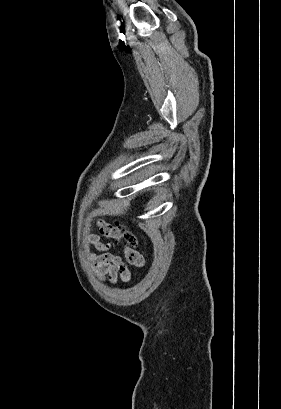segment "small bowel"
Wrapping results in <instances>:
<instances>
[{
	"instance_id": "1",
	"label": "small bowel",
	"mask_w": 281,
	"mask_h": 409,
	"mask_svg": "<svg viewBox=\"0 0 281 409\" xmlns=\"http://www.w3.org/2000/svg\"><path fill=\"white\" fill-rule=\"evenodd\" d=\"M86 237V242L94 246L102 253H90V257L96 261L98 273L106 277L111 283H117L119 280L129 281L131 279V271L129 267H140L143 265V258L138 250H131L129 243L122 244L120 241V232L112 227L110 224L97 220L96 226H89ZM98 235H103L114 240L117 245L122 246L125 252L127 264L123 262L122 258L108 251L109 244L100 241ZM131 250V251H130ZM139 258V262L137 259Z\"/></svg>"
}]
</instances>
